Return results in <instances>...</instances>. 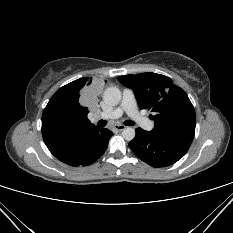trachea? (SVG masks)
<instances>
[{"label": "trachea", "mask_w": 233, "mask_h": 233, "mask_svg": "<svg viewBox=\"0 0 233 233\" xmlns=\"http://www.w3.org/2000/svg\"><path fill=\"white\" fill-rule=\"evenodd\" d=\"M106 124H107V121H105V120H100V121H98V123H97V125H98L99 127H105ZM124 124H125L126 126H133L135 123H134L133 121H131V120H127V121L124 122Z\"/></svg>", "instance_id": "trachea-1"}]
</instances>
